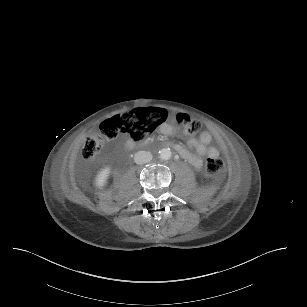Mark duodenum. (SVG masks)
Masks as SVG:
<instances>
[{
	"mask_svg": "<svg viewBox=\"0 0 307 307\" xmlns=\"http://www.w3.org/2000/svg\"><path fill=\"white\" fill-rule=\"evenodd\" d=\"M146 146H147V144L143 143V144H141V145L139 146V148H145ZM171 147H172V148L174 147L173 144H171Z\"/></svg>",
	"mask_w": 307,
	"mask_h": 307,
	"instance_id": "duodenum-1",
	"label": "duodenum"
}]
</instances>
